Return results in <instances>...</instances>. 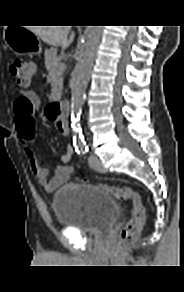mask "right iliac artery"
<instances>
[{
    "instance_id": "right-iliac-artery-1",
    "label": "right iliac artery",
    "mask_w": 184,
    "mask_h": 292,
    "mask_svg": "<svg viewBox=\"0 0 184 292\" xmlns=\"http://www.w3.org/2000/svg\"><path fill=\"white\" fill-rule=\"evenodd\" d=\"M77 153L80 154L81 156L84 155V152L81 149L80 150L77 149Z\"/></svg>"
}]
</instances>
